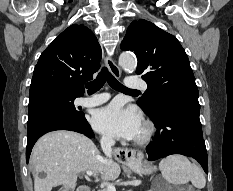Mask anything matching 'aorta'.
I'll list each match as a JSON object with an SVG mask.
<instances>
[{"instance_id":"762f6f07","label":"aorta","mask_w":233,"mask_h":191,"mask_svg":"<svg viewBox=\"0 0 233 191\" xmlns=\"http://www.w3.org/2000/svg\"><path fill=\"white\" fill-rule=\"evenodd\" d=\"M119 64L127 73H132L137 67V59L130 52H122L119 56Z\"/></svg>"}]
</instances>
